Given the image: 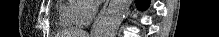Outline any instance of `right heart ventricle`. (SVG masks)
<instances>
[{
    "label": "right heart ventricle",
    "mask_w": 219,
    "mask_h": 37,
    "mask_svg": "<svg viewBox=\"0 0 219 37\" xmlns=\"http://www.w3.org/2000/svg\"><path fill=\"white\" fill-rule=\"evenodd\" d=\"M79 7L76 3L62 5L59 9V25L65 28H76L82 25L78 18Z\"/></svg>",
    "instance_id": "obj_1"
}]
</instances>
